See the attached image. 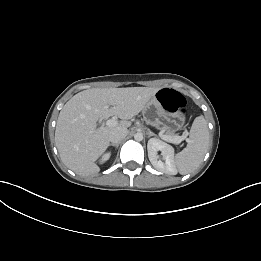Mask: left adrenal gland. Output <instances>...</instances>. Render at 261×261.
I'll return each mask as SVG.
<instances>
[{
    "label": "left adrenal gland",
    "mask_w": 261,
    "mask_h": 261,
    "mask_svg": "<svg viewBox=\"0 0 261 261\" xmlns=\"http://www.w3.org/2000/svg\"><path fill=\"white\" fill-rule=\"evenodd\" d=\"M148 137L156 136L153 132L150 131V129H147Z\"/></svg>",
    "instance_id": "1"
}]
</instances>
